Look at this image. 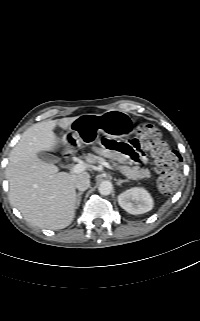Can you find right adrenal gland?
<instances>
[{
  "mask_svg": "<svg viewBox=\"0 0 200 321\" xmlns=\"http://www.w3.org/2000/svg\"><path fill=\"white\" fill-rule=\"evenodd\" d=\"M84 193V191H81L79 193L76 194V208H78L80 206V202H81V195Z\"/></svg>",
  "mask_w": 200,
  "mask_h": 321,
  "instance_id": "right-adrenal-gland-1",
  "label": "right adrenal gland"
}]
</instances>
